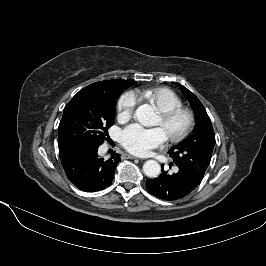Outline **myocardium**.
Returning <instances> with one entry per match:
<instances>
[{
  "mask_svg": "<svg viewBox=\"0 0 266 266\" xmlns=\"http://www.w3.org/2000/svg\"><path fill=\"white\" fill-rule=\"evenodd\" d=\"M159 116L164 122H170L180 116L185 118V127L179 133L168 136V138L173 142L182 141L189 136V134L193 131L196 122L194 113L185 107H178L167 111H162L160 112Z\"/></svg>",
  "mask_w": 266,
  "mask_h": 266,
  "instance_id": "f54148a6",
  "label": "myocardium"
}]
</instances>
